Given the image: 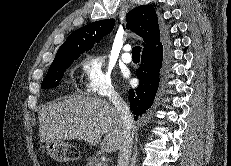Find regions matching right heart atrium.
<instances>
[{
    "label": "right heart atrium",
    "mask_w": 231,
    "mask_h": 166,
    "mask_svg": "<svg viewBox=\"0 0 231 166\" xmlns=\"http://www.w3.org/2000/svg\"><path fill=\"white\" fill-rule=\"evenodd\" d=\"M83 89L92 96L112 97L116 95L111 71L103 56L94 53L86 54L81 60Z\"/></svg>",
    "instance_id": "1"
}]
</instances>
